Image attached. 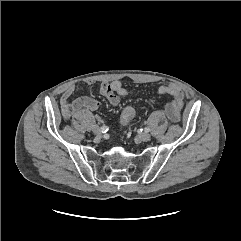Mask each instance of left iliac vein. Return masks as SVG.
Masks as SVG:
<instances>
[{
  "instance_id": "1",
  "label": "left iliac vein",
  "mask_w": 241,
  "mask_h": 241,
  "mask_svg": "<svg viewBox=\"0 0 241 241\" xmlns=\"http://www.w3.org/2000/svg\"><path fill=\"white\" fill-rule=\"evenodd\" d=\"M138 138H139L140 141L147 142L151 139V135L149 133L145 132V133H141L138 136Z\"/></svg>"
}]
</instances>
